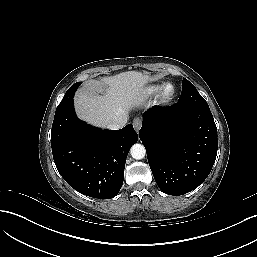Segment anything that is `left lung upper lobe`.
Wrapping results in <instances>:
<instances>
[{"instance_id":"5c2ea615","label":"left lung upper lobe","mask_w":257,"mask_h":257,"mask_svg":"<svg viewBox=\"0 0 257 257\" xmlns=\"http://www.w3.org/2000/svg\"><path fill=\"white\" fill-rule=\"evenodd\" d=\"M176 104L179 106H186L191 104L203 106L208 105L204 98L199 94L197 89L186 78H183L181 97Z\"/></svg>"}]
</instances>
